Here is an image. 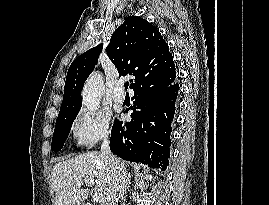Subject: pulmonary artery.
Returning a JSON list of instances; mask_svg holds the SVG:
<instances>
[{
  "label": "pulmonary artery",
  "mask_w": 269,
  "mask_h": 205,
  "mask_svg": "<svg viewBox=\"0 0 269 205\" xmlns=\"http://www.w3.org/2000/svg\"><path fill=\"white\" fill-rule=\"evenodd\" d=\"M113 99L117 103H123L125 100L124 86L122 83H118L113 95Z\"/></svg>",
  "instance_id": "obj_1"
}]
</instances>
